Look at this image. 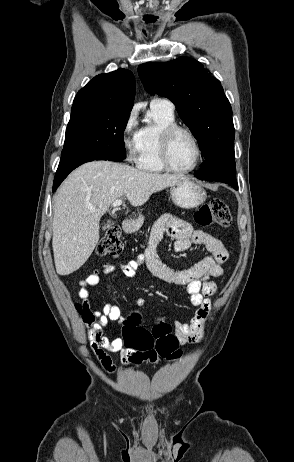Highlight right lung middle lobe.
I'll return each instance as SVG.
<instances>
[{"instance_id":"right-lung-middle-lobe-1","label":"right lung middle lobe","mask_w":294,"mask_h":462,"mask_svg":"<svg viewBox=\"0 0 294 462\" xmlns=\"http://www.w3.org/2000/svg\"><path fill=\"white\" fill-rule=\"evenodd\" d=\"M129 111L107 108L71 110L59 167L111 157L125 159L123 134Z\"/></svg>"}]
</instances>
